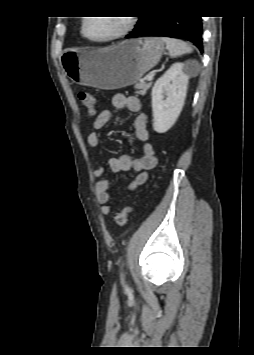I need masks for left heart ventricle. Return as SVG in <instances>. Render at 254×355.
<instances>
[{
    "instance_id": "b2bd125f",
    "label": "left heart ventricle",
    "mask_w": 254,
    "mask_h": 355,
    "mask_svg": "<svg viewBox=\"0 0 254 355\" xmlns=\"http://www.w3.org/2000/svg\"><path fill=\"white\" fill-rule=\"evenodd\" d=\"M124 25V17H92L87 20L85 32L91 38H108L119 32Z\"/></svg>"
}]
</instances>
